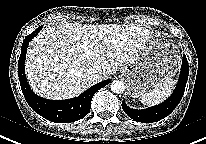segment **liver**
<instances>
[{
	"label": "liver",
	"instance_id": "liver-1",
	"mask_svg": "<svg viewBox=\"0 0 206 144\" xmlns=\"http://www.w3.org/2000/svg\"><path fill=\"white\" fill-rule=\"evenodd\" d=\"M150 30L138 24L66 23L44 28L30 43L25 71L33 91L60 100L80 95L93 81L86 70L99 67L102 78L131 63Z\"/></svg>",
	"mask_w": 206,
	"mask_h": 144
}]
</instances>
